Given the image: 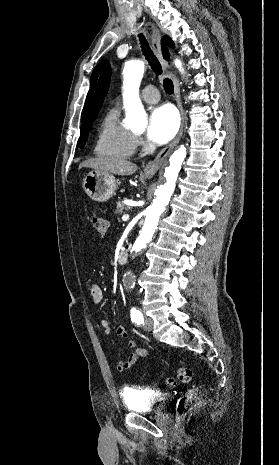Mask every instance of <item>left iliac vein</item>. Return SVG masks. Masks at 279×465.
<instances>
[{
  "mask_svg": "<svg viewBox=\"0 0 279 465\" xmlns=\"http://www.w3.org/2000/svg\"><path fill=\"white\" fill-rule=\"evenodd\" d=\"M153 326H154V322L152 319L150 318H146L143 322V329L145 331H152L153 329Z\"/></svg>",
  "mask_w": 279,
  "mask_h": 465,
  "instance_id": "left-iliac-vein-1",
  "label": "left iliac vein"
}]
</instances>
